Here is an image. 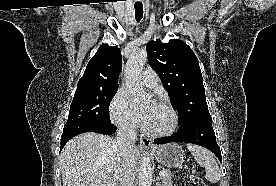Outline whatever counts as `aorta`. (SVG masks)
Returning a JSON list of instances; mask_svg holds the SVG:
<instances>
[{"label":"aorta","mask_w":276,"mask_h":186,"mask_svg":"<svg viewBox=\"0 0 276 186\" xmlns=\"http://www.w3.org/2000/svg\"><path fill=\"white\" fill-rule=\"evenodd\" d=\"M147 53L145 51H137L128 59L125 66L124 80L128 92L131 94L134 102L140 103L149 97L143 90L141 82V72L147 62ZM152 185V164L148 157H144L139 169V186Z\"/></svg>","instance_id":"1"}]
</instances>
